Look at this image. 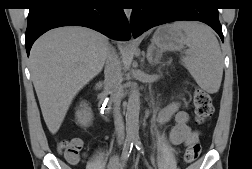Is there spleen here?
Wrapping results in <instances>:
<instances>
[{
  "mask_svg": "<svg viewBox=\"0 0 252 169\" xmlns=\"http://www.w3.org/2000/svg\"><path fill=\"white\" fill-rule=\"evenodd\" d=\"M186 35L189 50L183 57L185 67L204 91L218 92L223 75V57L217 38L209 27L198 22L174 23Z\"/></svg>",
  "mask_w": 252,
  "mask_h": 169,
  "instance_id": "3e777b00",
  "label": "spleen"
}]
</instances>
